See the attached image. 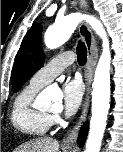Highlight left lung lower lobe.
I'll return each instance as SVG.
<instances>
[{
    "label": "left lung lower lobe",
    "mask_w": 123,
    "mask_h": 152,
    "mask_svg": "<svg viewBox=\"0 0 123 152\" xmlns=\"http://www.w3.org/2000/svg\"><path fill=\"white\" fill-rule=\"evenodd\" d=\"M86 136H87V127L85 126V127L80 131V134H79V137H78V144H79L80 146H84V142H85Z\"/></svg>",
    "instance_id": "1"
}]
</instances>
